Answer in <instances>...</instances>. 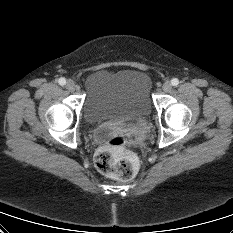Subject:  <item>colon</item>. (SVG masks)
<instances>
[{"label": "colon", "mask_w": 233, "mask_h": 233, "mask_svg": "<svg viewBox=\"0 0 233 233\" xmlns=\"http://www.w3.org/2000/svg\"><path fill=\"white\" fill-rule=\"evenodd\" d=\"M125 141L124 136L117 134L98 149L95 165L101 173L120 180L135 176L137 164L134 157L124 150Z\"/></svg>", "instance_id": "colon-1"}]
</instances>
